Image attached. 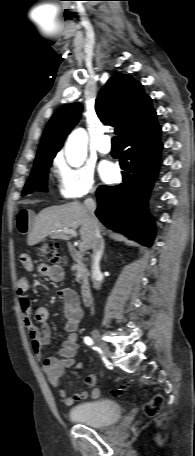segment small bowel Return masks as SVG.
<instances>
[{"label":"small bowel","instance_id":"1","mask_svg":"<svg viewBox=\"0 0 195 456\" xmlns=\"http://www.w3.org/2000/svg\"><path fill=\"white\" fill-rule=\"evenodd\" d=\"M30 224V211H20L17 216L18 230L26 234L30 230ZM20 262L26 271L36 272L54 282H59L64 277L62 266L47 263L35 264L28 254H21ZM29 290V279L21 277L17 281V294L19 296L24 324L31 339L33 352L36 358L41 361L42 369L51 387L58 392L61 402L66 406H71L82 400L97 399L100 396L98 388H94L91 393L81 391L73 395H68L63 389L60 380L65 370L75 364V356L79 348L77 331L83 317V312L77 293L70 288H64L57 292V296L63 304V313L66 319L64 329L67 337L61 344L58 357L52 356L43 359L42 349L50 342L52 336V330L48 324L49 313L45 307L33 309L31 301L26 297ZM37 322L40 323V326L37 325ZM85 382L88 386H95L97 377L90 374L86 377Z\"/></svg>","mask_w":195,"mask_h":456}]
</instances>
